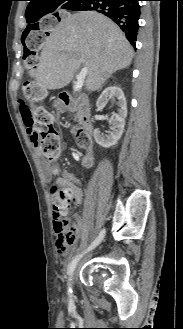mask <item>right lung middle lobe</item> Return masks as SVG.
<instances>
[{
	"mask_svg": "<svg viewBox=\"0 0 183 329\" xmlns=\"http://www.w3.org/2000/svg\"><path fill=\"white\" fill-rule=\"evenodd\" d=\"M76 0H63V1H58L55 2L53 5L49 6L43 15L38 16L35 21L37 22L42 16L48 14V13H57L60 9H67L69 6H71ZM57 16V15H56ZM28 22V21H27ZM30 23V22H28ZM32 23L31 27L25 30V34L28 33V31L32 28V27H37V23ZM25 36L22 38V40H24Z\"/></svg>",
	"mask_w": 183,
	"mask_h": 329,
	"instance_id": "dd1d6c3e",
	"label": "right lung middle lobe"
}]
</instances>
